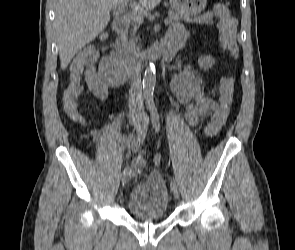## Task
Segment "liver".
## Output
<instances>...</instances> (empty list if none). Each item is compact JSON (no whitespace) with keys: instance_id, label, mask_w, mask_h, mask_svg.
<instances>
[{"instance_id":"1","label":"liver","mask_w":295,"mask_h":250,"mask_svg":"<svg viewBox=\"0 0 295 250\" xmlns=\"http://www.w3.org/2000/svg\"><path fill=\"white\" fill-rule=\"evenodd\" d=\"M128 0H56L55 30L59 47L61 69L107 27L110 10ZM161 0H139L134 8L145 14Z\"/></svg>"}]
</instances>
